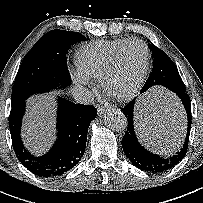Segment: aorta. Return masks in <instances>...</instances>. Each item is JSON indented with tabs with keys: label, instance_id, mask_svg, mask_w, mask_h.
I'll return each instance as SVG.
<instances>
[{
	"label": "aorta",
	"instance_id": "aorta-1",
	"mask_svg": "<svg viewBox=\"0 0 203 203\" xmlns=\"http://www.w3.org/2000/svg\"><path fill=\"white\" fill-rule=\"evenodd\" d=\"M105 124L116 132H123L127 128V119L122 111L110 110L105 115Z\"/></svg>",
	"mask_w": 203,
	"mask_h": 203
}]
</instances>
